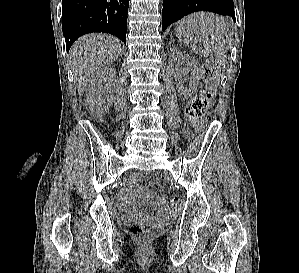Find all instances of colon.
I'll list each match as a JSON object with an SVG mask.
<instances>
[{
    "label": "colon",
    "instance_id": "obj_1",
    "mask_svg": "<svg viewBox=\"0 0 299 273\" xmlns=\"http://www.w3.org/2000/svg\"><path fill=\"white\" fill-rule=\"evenodd\" d=\"M218 76V63L214 60H207L202 65V77L207 85L194 95L186 105L185 116L198 133L205 128L201 121L209 104L214 98V83ZM181 198L178 195L171 197L170 215L175 216L180 208ZM130 234L137 239H147L152 236L153 230L150 226L141 223H133L129 226Z\"/></svg>",
    "mask_w": 299,
    "mask_h": 273
}]
</instances>
